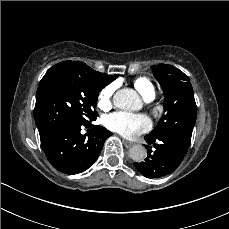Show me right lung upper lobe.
Returning <instances> with one entry per match:
<instances>
[{
	"label": "right lung upper lobe",
	"mask_w": 229,
	"mask_h": 229,
	"mask_svg": "<svg viewBox=\"0 0 229 229\" xmlns=\"http://www.w3.org/2000/svg\"><path fill=\"white\" fill-rule=\"evenodd\" d=\"M58 64L71 66L79 70L88 78V80L94 87L100 90H102L106 85H108L109 83H111L113 80H115L118 77V75H107L105 73H100L98 71H95L80 61H74V62L63 61Z\"/></svg>",
	"instance_id": "1"
}]
</instances>
